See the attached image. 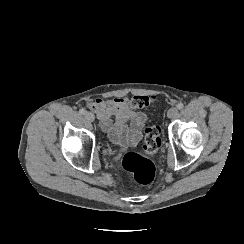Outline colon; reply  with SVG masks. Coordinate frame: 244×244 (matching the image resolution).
Masks as SVG:
<instances>
[{"label": "colon", "instance_id": "1", "mask_svg": "<svg viewBox=\"0 0 244 244\" xmlns=\"http://www.w3.org/2000/svg\"><path fill=\"white\" fill-rule=\"evenodd\" d=\"M157 97L154 95H135L130 100V105L134 110L155 106ZM161 129L157 124H149L144 131V150L147 154L155 153L161 146ZM122 166L127 171H133L137 182L147 185L155 178V166L147 156L129 151L122 160Z\"/></svg>", "mask_w": 244, "mask_h": 244}]
</instances>
